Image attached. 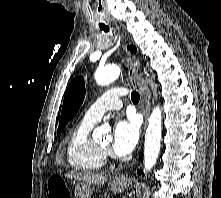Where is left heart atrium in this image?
Here are the masks:
<instances>
[{
  "mask_svg": "<svg viewBox=\"0 0 221 198\" xmlns=\"http://www.w3.org/2000/svg\"><path fill=\"white\" fill-rule=\"evenodd\" d=\"M139 139V124L136 118L128 117L116 122L113 130V150L125 156L136 146Z\"/></svg>",
  "mask_w": 221,
  "mask_h": 198,
  "instance_id": "obj_1",
  "label": "left heart atrium"
}]
</instances>
